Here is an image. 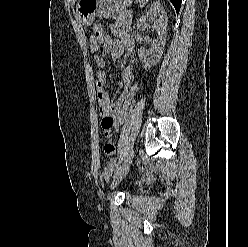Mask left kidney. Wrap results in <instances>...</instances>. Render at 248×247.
I'll return each instance as SVG.
<instances>
[{
	"mask_svg": "<svg viewBox=\"0 0 248 247\" xmlns=\"http://www.w3.org/2000/svg\"><path fill=\"white\" fill-rule=\"evenodd\" d=\"M148 21H155L153 28L157 32V38L153 40L151 49L138 50L139 59L146 69H150L160 61L165 47L168 18L159 2L153 3L146 15L139 19L137 28L141 31L148 29Z\"/></svg>",
	"mask_w": 248,
	"mask_h": 247,
	"instance_id": "obj_1",
	"label": "left kidney"
}]
</instances>
